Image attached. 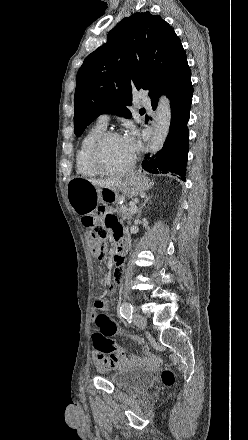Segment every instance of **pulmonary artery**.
<instances>
[{
	"instance_id": "e3ab8cb5",
	"label": "pulmonary artery",
	"mask_w": 248,
	"mask_h": 440,
	"mask_svg": "<svg viewBox=\"0 0 248 440\" xmlns=\"http://www.w3.org/2000/svg\"><path fill=\"white\" fill-rule=\"evenodd\" d=\"M141 98H143V101H144L146 104H148V101H147V99H146L144 96H142ZM108 122H109V115H108V114H102V115H100V116L98 117V123H99L100 125L106 127L107 124H108Z\"/></svg>"
}]
</instances>
